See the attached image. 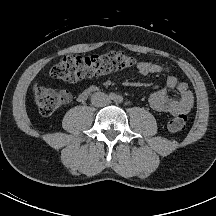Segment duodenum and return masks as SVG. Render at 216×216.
<instances>
[{"label": "duodenum", "instance_id": "duodenum-1", "mask_svg": "<svg viewBox=\"0 0 216 216\" xmlns=\"http://www.w3.org/2000/svg\"><path fill=\"white\" fill-rule=\"evenodd\" d=\"M94 91H95V88L89 89V93H92V92H94Z\"/></svg>", "mask_w": 216, "mask_h": 216}]
</instances>
